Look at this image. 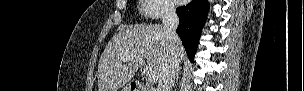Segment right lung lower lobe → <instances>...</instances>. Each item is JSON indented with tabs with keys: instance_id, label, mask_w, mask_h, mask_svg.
I'll return each mask as SVG.
<instances>
[{
	"instance_id": "right-lung-lower-lobe-1",
	"label": "right lung lower lobe",
	"mask_w": 304,
	"mask_h": 91,
	"mask_svg": "<svg viewBox=\"0 0 304 91\" xmlns=\"http://www.w3.org/2000/svg\"><path fill=\"white\" fill-rule=\"evenodd\" d=\"M208 12L207 0H192L188 5L176 9L180 23L176 30L181 38L188 58L194 61L201 29Z\"/></svg>"
}]
</instances>
